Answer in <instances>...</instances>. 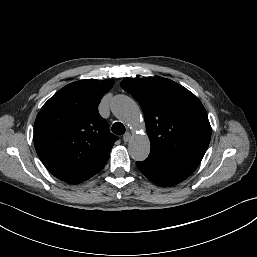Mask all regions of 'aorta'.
I'll use <instances>...</instances> for the list:
<instances>
[{
	"label": "aorta",
	"instance_id": "762f6f07",
	"mask_svg": "<svg viewBox=\"0 0 257 257\" xmlns=\"http://www.w3.org/2000/svg\"><path fill=\"white\" fill-rule=\"evenodd\" d=\"M111 110L118 119L132 129H137L144 125L139 106L128 96H115L111 102ZM128 150L134 160H145L150 153L148 136L146 134H134L128 144Z\"/></svg>",
	"mask_w": 257,
	"mask_h": 257
}]
</instances>
